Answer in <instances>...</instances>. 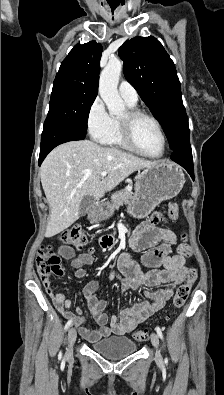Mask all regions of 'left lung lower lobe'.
I'll return each instance as SVG.
<instances>
[{"label": "left lung lower lobe", "mask_w": 224, "mask_h": 395, "mask_svg": "<svg viewBox=\"0 0 224 395\" xmlns=\"http://www.w3.org/2000/svg\"><path fill=\"white\" fill-rule=\"evenodd\" d=\"M171 159L184 167L187 172L190 174L192 179H194V169H193V160H192V152L189 141V135L185 136L179 145L173 150L171 155Z\"/></svg>", "instance_id": "1"}]
</instances>
